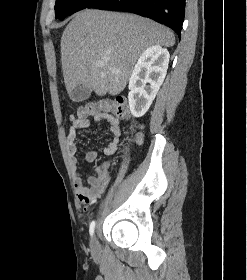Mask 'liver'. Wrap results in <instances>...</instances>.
I'll return each instance as SVG.
<instances>
[{"instance_id": "1", "label": "liver", "mask_w": 247, "mask_h": 280, "mask_svg": "<svg viewBox=\"0 0 247 280\" xmlns=\"http://www.w3.org/2000/svg\"><path fill=\"white\" fill-rule=\"evenodd\" d=\"M168 28L132 14L85 9L75 14L61 37V61L70 98L81 86L98 96L118 95L148 47H171ZM103 61L104 65L97 63Z\"/></svg>"}]
</instances>
